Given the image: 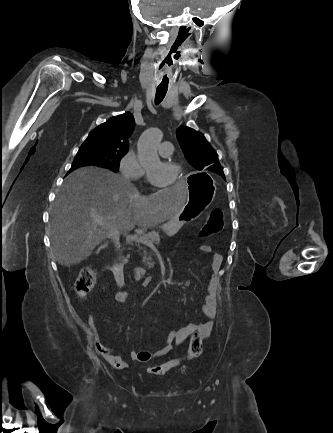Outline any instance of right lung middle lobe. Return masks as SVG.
<instances>
[{"mask_svg": "<svg viewBox=\"0 0 333 433\" xmlns=\"http://www.w3.org/2000/svg\"><path fill=\"white\" fill-rule=\"evenodd\" d=\"M128 150H118L84 142L73 161L74 166L99 165L117 171L120 160Z\"/></svg>", "mask_w": 333, "mask_h": 433, "instance_id": "dd1d6c3e", "label": "right lung middle lobe"}]
</instances>
